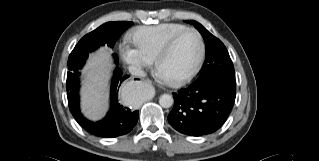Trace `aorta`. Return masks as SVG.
<instances>
[{"mask_svg":"<svg viewBox=\"0 0 319 161\" xmlns=\"http://www.w3.org/2000/svg\"><path fill=\"white\" fill-rule=\"evenodd\" d=\"M141 89L148 90V87L142 86ZM173 102H174L173 97L169 94H163L159 98V104L163 108H170L173 105Z\"/></svg>","mask_w":319,"mask_h":161,"instance_id":"762f6f07","label":"aorta"}]
</instances>
